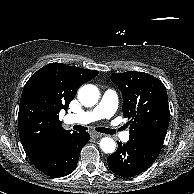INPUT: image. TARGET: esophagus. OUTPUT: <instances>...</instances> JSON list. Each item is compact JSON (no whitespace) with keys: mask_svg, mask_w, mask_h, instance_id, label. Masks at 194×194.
<instances>
[{"mask_svg":"<svg viewBox=\"0 0 194 194\" xmlns=\"http://www.w3.org/2000/svg\"><path fill=\"white\" fill-rule=\"evenodd\" d=\"M91 136H92L93 138H101V137L103 136V134H102V133H99V132H93V133L91 134Z\"/></svg>","mask_w":194,"mask_h":194,"instance_id":"1","label":"esophagus"}]
</instances>
